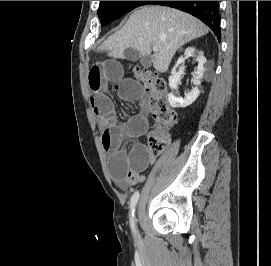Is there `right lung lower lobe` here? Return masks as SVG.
Segmentation results:
<instances>
[{
  "mask_svg": "<svg viewBox=\"0 0 271 266\" xmlns=\"http://www.w3.org/2000/svg\"><path fill=\"white\" fill-rule=\"evenodd\" d=\"M151 4L174 7L199 18L212 29L220 41L221 34L218 1H152Z\"/></svg>",
  "mask_w": 271,
  "mask_h": 266,
  "instance_id": "98d812e1",
  "label": "right lung lower lobe"
}]
</instances>
